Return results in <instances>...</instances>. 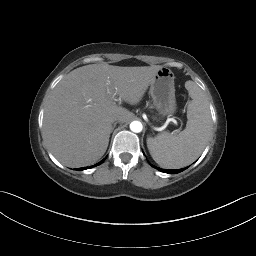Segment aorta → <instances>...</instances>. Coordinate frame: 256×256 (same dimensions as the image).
I'll return each mask as SVG.
<instances>
[{
	"mask_svg": "<svg viewBox=\"0 0 256 256\" xmlns=\"http://www.w3.org/2000/svg\"><path fill=\"white\" fill-rule=\"evenodd\" d=\"M143 129L142 123L140 121H133L130 123V130L139 133Z\"/></svg>",
	"mask_w": 256,
	"mask_h": 256,
	"instance_id": "1",
	"label": "aorta"
}]
</instances>
